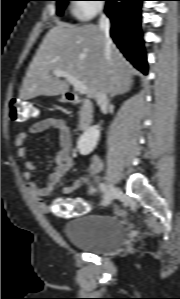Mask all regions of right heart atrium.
Returning a JSON list of instances; mask_svg holds the SVG:
<instances>
[{
	"instance_id": "obj_1",
	"label": "right heart atrium",
	"mask_w": 180,
	"mask_h": 299,
	"mask_svg": "<svg viewBox=\"0 0 180 299\" xmlns=\"http://www.w3.org/2000/svg\"><path fill=\"white\" fill-rule=\"evenodd\" d=\"M73 6L75 17L82 20H89L105 10L102 0H76Z\"/></svg>"
}]
</instances>
